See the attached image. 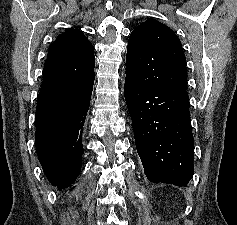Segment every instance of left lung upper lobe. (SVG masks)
<instances>
[{
    "label": "left lung upper lobe",
    "mask_w": 237,
    "mask_h": 225,
    "mask_svg": "<svg viewBox=\"0 0 237 225\" xmlns=\"http://www.w3.org/2000/svg\"><path fill=\"white\" fill-rule=\"evenodd\" d=\"M126 72L142 86L186 91V58L179 38L168 26L147 19L130 35Z\"/></svg>",
    "instance_id": "obj_1"
}]
</instances>
